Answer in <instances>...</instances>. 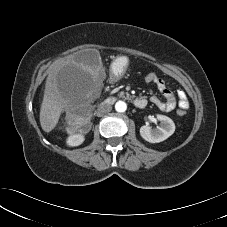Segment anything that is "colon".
<instances>
[{"mask_svg": "<svg viewBox=\"0 0 227 227\" xmlns=\"http://www.w3.org/2000/svg\"><path fill=\"white\" fill-rule=\"evenodd\" d=\"M158 75L154 71H149L144 75V81L147 83H155L157 80ZM186 111L184 109H179L178 114L180 116L185 115ZM87 123V111L84 109H81L71 115L70 117V125L73 130H79L82 129Z\"/></svg>", "mask_w": 227, "mask_h": 227, "instance_id": "colon-1", "label": "colon"}]
</instances>
